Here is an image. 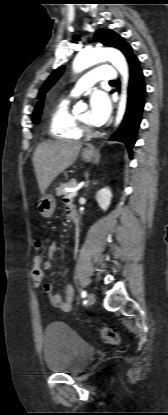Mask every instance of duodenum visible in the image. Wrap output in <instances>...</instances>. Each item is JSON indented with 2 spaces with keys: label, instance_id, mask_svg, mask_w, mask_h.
I'll return each mask as SVG.
<instances>
[{
  "label": "duodenum",
  "instance_id": "410a0bca",
  "mask_svg": "<svg viewBox=\"0 0 168 415\" xmlns=\"http://www.w3.org/2000/svg\"><path fill=\"white\" fill-rule=\"evenodd\" d=\"M68 212H69V216H70L71 220L74 223H76L77 222V211H76L75 207L74 206L70 207Z\"/></svg>",
  "mask_w": 168,
  "mask_h": 415
}]
</instances>
